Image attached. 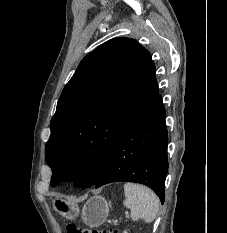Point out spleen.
I'll list each match as a JSON object with an SVG mask.
<instances>
[{
  "label": "spleen",
  "instance_id": "3e777b00",
  "mask_svg": "<svg viewBox=\"0 0 227 233\" xmlns=\"http://www.w3.org/2000/svg\"><path fill=\"white\" fill-rule=\"evenodd\" d=\"M124 194V206L130 209L132 220L141 219L146 223L155 220L159 211V200L152 190L139 184L126 183Z\"/></svg>",
  "mask_w": 227,
  "mask_h": 233
}]
</instances>
